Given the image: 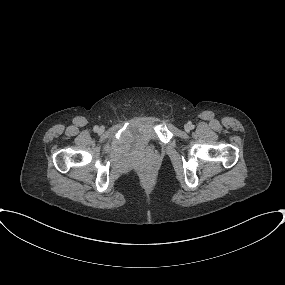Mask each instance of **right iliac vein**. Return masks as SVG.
<instances>
[{"instance_id":"1","label":"right iliac vein","mask_w":285,"mask_h":285,"mask_svg":"<svg viewBox=\"0 0 285 285\" xmlns=\"http://www.w3.org/2000/svg\"><path fill=\"white\" fill-rule=\"evenodd\" d=\"M100 133L104 132V127H100L98 130Z\"/></svg>"}]
</instances>
